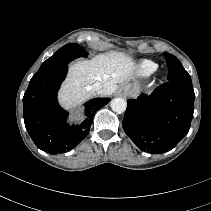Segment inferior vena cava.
I'll list each match as a JSON object with an SVG mask.
<instances>
[{"instance_id": "inferior-vena-cava-1", "label": "inferior vena cava", "mask_w": 211, "mask_h": 211, "mask_svg": "<svg viewBox=\"0 0 211 211\" xmlns=\"http://www.w3.org/2000/svg\"><path fill=\"white\" fill-rule=\"evenodd\" d=\"M92 89L96 91L98 94H101L103 91V86L100 82H96L92 85Z\"/></svg>"}]
</instances>
